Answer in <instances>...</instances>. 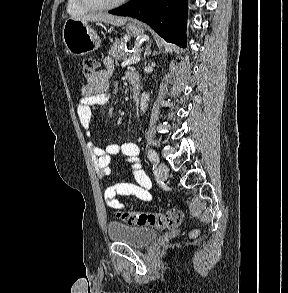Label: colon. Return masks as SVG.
Returning a JSON list of instances; mask_svg holds the SVG:
<instances>
[{"label":"colon","instance_id":"1","mask_svg":"<svg viewBox=\"0 0 288 293\" xmlns=\"http://www.w3.org/2000/svg\"><path fill=\"white\" fill-rule=\"evenodd\" d=\"M98 61L93 57L83 60V74L88 79L98 72ZM117 216L130 225L151 226L157 229H169L180 224L182 214L177 209H170L163 213H146L121 211ZM196 233H193L195 235Z\"/></svg>","mask_w":288,"mask_h":293}]
</instances>
